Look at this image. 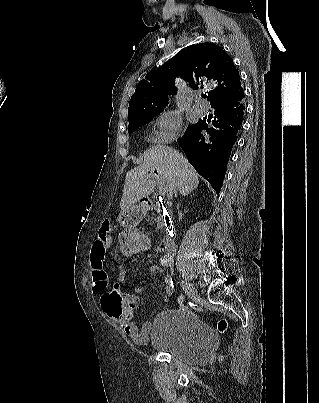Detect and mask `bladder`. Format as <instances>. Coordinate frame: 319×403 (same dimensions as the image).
I'll use <instances>...</instances> for the list:
<instances>
[{"label": "bladder", "instance_id": "obj_1", "mask_svg": "<svg viewBox=\"0 0 319 403\" xmlns=\"http://www.w3.org/2000/svg\"><path fill=\"white\" fill-rule=\"evenodd\" d=\"M148 345L186 364L205 363L216 340L209 326L198 317L179 310H164L152 322Z\"/></svg>", "mask_w": 319, "mask_h": 403}]
</instances>
